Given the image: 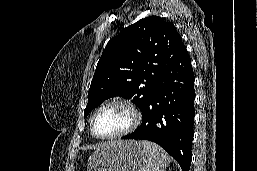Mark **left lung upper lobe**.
Here are the masks:
<instances>
[{"mask_svg":"<svg viewBox=\"0 0 257 171\" xmlns=\"http://www.w3.org/2000/svg\"><path fill=\"white\" fill-rule=\"evenodd\" d=\"M183 46L174 26L160 17L149 16L128 26L102 53L84 116L114 96L132 99L143 112L166 65Z\"/></svg>","mask_w":257,"mask_h":171,"instance_id":"1","label":"left lung upper lobe"}]
</instances>
